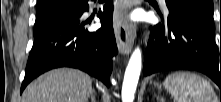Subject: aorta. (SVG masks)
Here are the masks:
<instances>
[{"label": "aorta", "mask_w": 221, "mask_h": 102, "mask_svg": "<svg viewBox=\"0 0 221 102\" xmlns=\"http://www.w3.org/2000/svg\"><path fill=\"white\" fill-rule=\"evenodd\" d=\"M142 66L141 50L137 47L127 65L123 86H122V102H133L136 87L138 84Z\"/></svg>", "instance_id": "aorta-1"}]
</instances>
